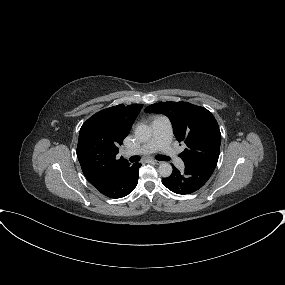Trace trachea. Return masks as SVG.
<instances>
[{
    "label": "trachea",
    "mask_w": 285,
    "mask_h": 285,
    "mask_svg": "<svg viewBox=\"0 0 285 285\" xmlns=\"http://www.w3.org/2000/svg\"><path fill=\"white\" fill-rule=\"evenodd\" d=\"M156 159L161 160V161H169L170 160V158L166 155H157ZM139 160H140V156H131L129 158L130 162H138Z\"/></svg>",
    "instance_id": "3493384b"
}]
</instances>
